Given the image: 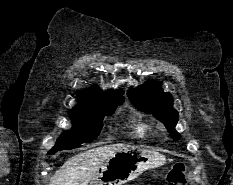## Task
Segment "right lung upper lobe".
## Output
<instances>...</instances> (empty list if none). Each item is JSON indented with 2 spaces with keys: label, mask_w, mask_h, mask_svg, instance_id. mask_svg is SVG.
Masks as SVG:
<instances>
[{
  "label": "right lung upper lobe",
  "mask_w": 233,
  "mask_h": 185,
  "mask_svg": "<svg viewBox=\"0 0 233 185\" xmlns=\"http://www.w3.org/2000/svg\"><path fill=\"white\" fill-rule=\"evenodd\" d=\"M123 91H109L103 92L96 86L88 91L78 92V103L76 107H92L105 102L124 101V97L121 95Z\"/></svg>",
  "instance_id": "cb5924a9"
}]
</instances>
